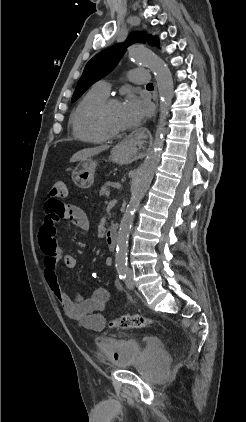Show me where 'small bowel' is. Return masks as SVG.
I'll list each match as a JSON object with an SVG mask.
<instances>
[{
  "label": "small bowel",
  "mask_w": 246,
  "mask_h": 422,
  "mask_svg": "<svg viewBox=\"0 0 246 422\" xmlns=\"http://www.w3.org/2000/svg\"><path fill=\"white\" fill-rule=\"evenodd\" d=\"M45 215L39 231V244L44 254V275L50 290L58 299L65 314L82 327L101 331L106 325L103 311L111 299L109 290L105 287L95 288L90 295L76 294L70 297L61 287L57 272L58 262L63 261L67 268L76 266V258L65 254L56 239V223L70 221L82 230L89 228V221L85 212L71 204L62 203L58 208L52 209L48 203L44 207ZM107 266H112L110 257L105 259ZM117 291L120 290L115 283Z\"/></svg>",
  "instance_id": "c3829d8e"
}]
</instances>
